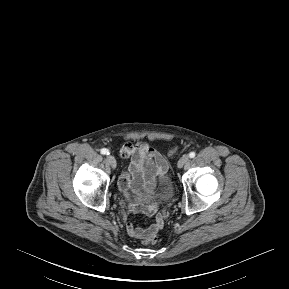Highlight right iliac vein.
<instances>
[{
    "instance_id": "1",
    "label": "right iliac vein",
    "mask_w": 289,
    "mask_h": 289,
    "mask_svg": "<svg viewBox=\"0 0 289 289\" xmlns=\"http://www.w3.org/2000/svg\"><path fill=\"white\" fill-rule=\"evenodd\" d=\"M107 161L113 169L116 168L117 163H116V159L114 156H112V155L107 156Z\"/></svg>"
}]
</instances>
